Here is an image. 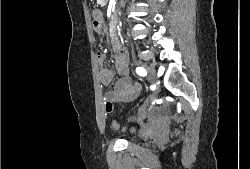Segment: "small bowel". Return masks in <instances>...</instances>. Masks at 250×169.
I'll use <instances>...</instances> for the list:
<instances>
[{
  "label": "small bowel",
  "instance_id": "1",
  "mask_svg": "<svg viewBox=\"0 0 250 169\" xmlns=\"http://www.w3.org/2000/svg\"><path fill=\"white\" fill-rule=\"evenodd\" d=\"M113 47L117 50V43H113ZM97 59L101 65V80L103 84L108 85L113 79V71L102 65L105 60V53L99 52L97 54ZM114 59L115 68L120 74V78L117 80L114 87L106 92L105 98H115V103L130 102L139 94L140 86L130 77L129 61L125 52L117 51L114 54Z\"/></svg>",
  "mask_w": 250,
  "mask_h": 169
}]
</instances>
